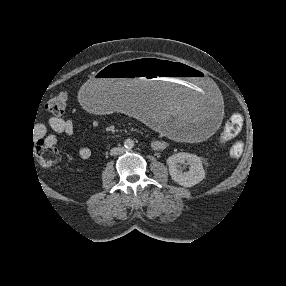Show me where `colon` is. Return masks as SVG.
Here are the masks:
<instances>
[{
    "mask_svg": "<svg viewBox=\"0 0 286 286\" xmlns=\"http://www.w3.org/2000/svg\"><path fill=\"white\" fill-rule=\"evenodd\" d=\"M68 96L62 92L51 98L47 104V110L53 115H64L67 111ZM243 126V116L239 113L233 114L227 121L223 133L221 135V142L227 143L233 140L241 131ZM242 144L235 143L230 149L231 154H239L242 152ZM34 152L41 166L45 168L52 167L58 158L57 149L47 140L38 139L34 144Z\"/></svg>",
    "mask_w": 286,
    "mask_h": 286,
    "instance_id": "5ec220e1",
    "label": "colon"
}]
</instances>
